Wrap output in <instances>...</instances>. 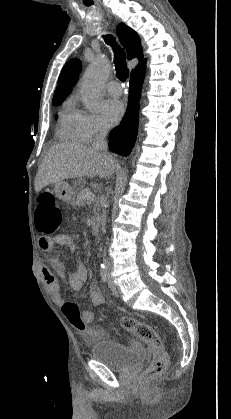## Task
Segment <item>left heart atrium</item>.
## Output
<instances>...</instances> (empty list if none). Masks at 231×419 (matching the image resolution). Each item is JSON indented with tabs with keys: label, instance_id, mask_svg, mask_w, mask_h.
<instances>
[{
	"label": "left heart atrium",
	"instance_id": "39dd6f15",
	"mask_svg": "<svg viewBox=\"0 0 231 419\" xmlns=\"http://www.w3.org/2000/svg\"><path fill=\"white\" fill-rule=\"evenodd\" d=\"M124 114V106L117 99H108L102 104V117L108 126L117 124Z\"/></svg>",
	"mask_w": 231,
	"mask_h": 419
}]
</instances>
